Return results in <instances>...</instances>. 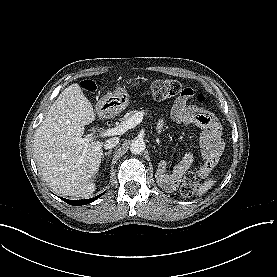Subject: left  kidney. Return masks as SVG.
Wrapping results in <instances>:
<instances>
[{
  "instance_id": "left-kidney-1",
  "label": "left kidney",
  "mask_w": 277,
  "mask_h": 277,
  "mask_svg": "<svg viewBox=\"0 0 277 277\" xmlns=\"http://www.w3.org/2000/svg\"><path fill=\"white\" fill-rule=\"evenodd\" d=\"M166 162L161 160L158 164V169L156 172V179L160 183L163 188L173 189L176 185L177 179L181 178V175L172 174L168 175L165 174L166 171Z\"/></svg>"
}]
</instances>
